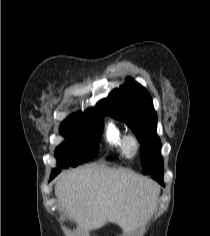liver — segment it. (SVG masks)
<instances>
[{
    "label": "liver",
    "instance_id": "obj_1",
    "mask_svg": "<svg viewBox=\"0 0 210 236\" xmlns=\"http://www.w3.org/2000/svg\"><path fill=\"white\" fill-rule=\"evenodd\" d=\"M159 192L146 177L103 165L62 173L55 184L62 209L87 233L108 221L133 232L155 209Z\"/></svg>",
    "mask_w": 210,
    "mask_h": 236
}]
</instances>
